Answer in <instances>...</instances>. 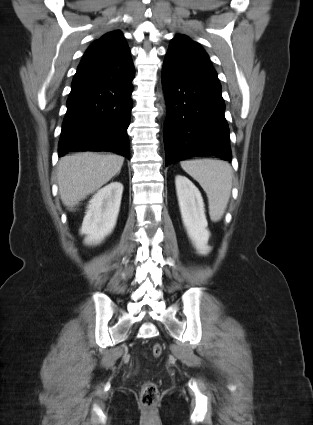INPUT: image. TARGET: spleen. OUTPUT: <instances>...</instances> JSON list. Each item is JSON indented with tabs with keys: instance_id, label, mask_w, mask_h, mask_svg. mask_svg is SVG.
<instances>
[{
	"instance_id": "1",
	"label": "spleen",
	"mask_w": 313,
	"mask_h": 425,
	"mask_svg": "<svg viewBox=\"0 0 313 425\" xmlns=\"http://www.w3.org/2000/svg\"><path fill=\"white\" fill-rule=\"evenodd\" d=\"M180 164L206 192L211 220L219 221L231 195L233 172L230 164L216 159L189 160Z\"/></svg>"
}]
</instances>
